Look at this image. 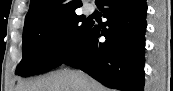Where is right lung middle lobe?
Listing matches in <instances>:
<instances>
[{"instance_id":"dd1d6c3e","label":"right lung middle lobe","mask_w":173,"mask_h":91,"mask_svg":"<svg viewBox=\"0 0 173 91\" xmlns=\"http://www.w3.org/2000/svg\"><path fill=\"white\" fill-rule=\"evenodd\" d=\"M89 26L90 22L74 13L24 28L23 58L15 73L28 77L60 66L83 39Z\"/></svg>"}]
</instances>
